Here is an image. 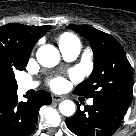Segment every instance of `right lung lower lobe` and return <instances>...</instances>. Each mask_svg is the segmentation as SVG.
<instances>
[{
  "label": "right lung lower lobe",
  "instance_id": "1",
  "mask_svg": "<svg viewBox=\"0 0 136 136\" xmlns=\"http://www.w3.org/2000/svg\"><path fill=\"white\" fill-rule=\"evenodd\" d=\"M51 103V95L37 91L27 102H18L17 93L0 98V136H28L37 122L42 105Z\"/></svg>",
  "mask_w": 136,
  "mask_h": 136
}]
</instances>
